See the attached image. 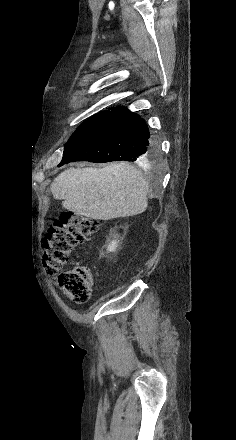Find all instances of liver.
Masks as SVG:
<instances>
[{"label":"liver","instance_id":"obj_1","mask_svg":"<svg viewBox=\"0 0 236 440\" xmlns=\"http://www.w3.org/2000/svg\"><path fill=\"white\" fill-rule=\"evenodd\" d=\"M50 190L62 207L95 220H110L143 213L148 206V183L126 162L103 168H69L52 182Z\"/></svg>","mask_w":236,"mask_h":440}]
</instances>
